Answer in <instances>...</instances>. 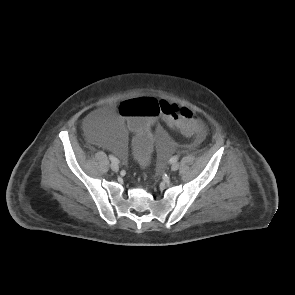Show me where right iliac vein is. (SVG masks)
I'll return each mask as SVG.
<instances>
[{
  "instance_id": "right-iliac-vein-1",
  "label": "right iliac vein",
  "mask_w": 295,
  "mask_h": 295,
  "mask_svg": "<svg viewBox=\"0 0 295 295\" xmlns=\"http://www.w3.org/2000/svg\"><path fill=\"white\" fill-rule=\"evenodd\" d=\"M110 167H111V169L114 172H118L119 171V165H118V163L112 162L111 165H110Z\"/></svg>"
}]
</instances>
